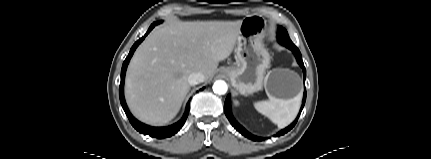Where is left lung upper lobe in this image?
I'll return each instance as SVG.
<instances>
[{
	"mask_svg": "<svg viewBox=\"0 0 431 159\" xmlns=\"http://www.w3.org/2000/svg\"><path fill=\"white\" fill-rule=\"evenodd\" d=\"M278 39H279V42L285 45L286 47H296L290 40L287 31L283 27L279 28Z\"/></svg>",
	"mask_w": 431,
	"mask_h": 159,
	"instance_id": "left-lung-upper-lobe-1",
	"label": "left lung upper lobe"
}]
</instances>
